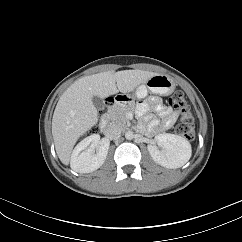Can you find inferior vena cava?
Wrapping results in <instances>:
<instances>
[{"label": "inferior vena cava", "instance_id": "inferior-vena-cava-1", "mask_svg": "<svg viewBox=\"0 0 242 242\" xmlns=\"http://www.w3.org/2000/svg\"><path fill=\"white\" fill-rule=\"evenodd\" d=\"M122 128L118 124H110L106 129V135L110 139L118 138L121 135Z\"/></svg>", "mask_w": 242, "mask_h": 242}]
</instances>
